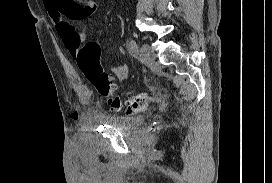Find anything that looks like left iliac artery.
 <instances>
[{
    "label": "left iliac artery",
    "instance_id": "left-iliac-artery-1",
    "mask_svg": "<svg viewBox=\"0 0 272 183\" xmlns=\"http://www.w3.org/2000/svg\"><path fill=\"white\" fill-rule=\"evenodd\" d=\"M128 49L130 54L135 57V58H139L140 54H139V50H138V45L136 43V41L134 39H131L128 45Z\"/></svg>",
    "mask_w": 272,
    "mask_h": 183
}]
</instances>
